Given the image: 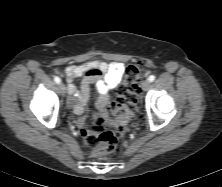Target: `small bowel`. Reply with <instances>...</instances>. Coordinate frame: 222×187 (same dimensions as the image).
I'll list each match as a JSON object with an SVG mask.
<instances>
[{"mask_svg":"<svg viewBox=\"0 0 222 187\" xmlns=\"http://www.w3.org/2000/svg\"><path fill=\"white\" fill-rule=\"evenodd\" d=\"M124 73V66L119 62H105L93 60L80 65H71L65 69L68 83L69 102L74 113L81 115L90 96V86L95 85L98 92L96 108L102 111L109 101L110 91L117 87ZM82 77L80 88L73 84V80Z\"/></svg>","mask_w":222,"mask_h":187,"instance_id":"1","label":"small bowel"}]
</instances>
